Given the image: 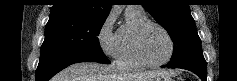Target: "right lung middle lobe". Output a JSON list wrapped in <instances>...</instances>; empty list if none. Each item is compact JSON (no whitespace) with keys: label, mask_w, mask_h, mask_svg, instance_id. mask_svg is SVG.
<instances>
[{"label":"right lung middle lobe","mask_w":237,"mask_h":81,"mask_svg":"<svg viewBox=\"0 0 237 81\" xmlns=\"http://www.w3.org/2000/svg\"><path fill=\"white\" fill-rule=\"evenodd\" d=\"M105 20L82 16L49 19L41 54L78 53L105 56L97 38Z\"/></svg>","instance_id":"1"}]
</instances>
